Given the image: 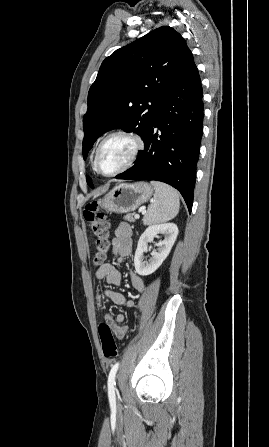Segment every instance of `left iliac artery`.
Masks as SVG:
<instances>
[{"label": "left iliac artery", "instance_id": "1", "mask_svg": "<svg viewBox=\"0 0 269 447\" xmlns=\"http://www.w3.org/2000/svg\"><path fill=\"white\" fill-rule=\"evenodd\" d=\"M119 368V363H116L110 373H109V377H108V397H109V402L110 405L113 407H116V396H115V376H116V372Z\"/></svg>", "mask_w": 269, "mask_h": 447}]
</instances>
